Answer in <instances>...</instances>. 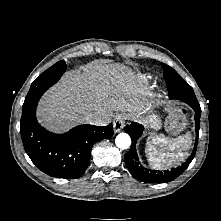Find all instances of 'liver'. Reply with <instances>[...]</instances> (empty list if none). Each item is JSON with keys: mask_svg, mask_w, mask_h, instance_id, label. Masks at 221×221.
<instances>
[{"mask_svg": "<svg viewBox=\"0 0 221 221\" xmlns=\"http://www.w3.org/2000/svg\"><path fill=\"white\" fill-rule=\"evenodd\" d=\"M81 69L67 72L40 100L37 117L48 129L63 132L87 122L107 125L114 111L141 112L144 102L140 98L148 91L131 69L102 61ZM90 114L98 119L88 121Z\"/></svg>", "mask_w": 221, "mask_h": 221, "instance_id": "6515ba94", "label": "liver"}]
</instances>
